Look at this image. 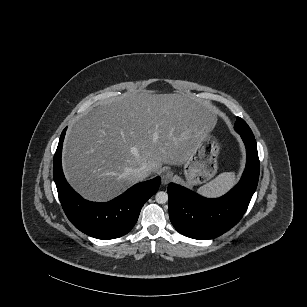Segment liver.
Masks as SVG:
<instances>
[{
	"instance_id": "obj_1",
	"label": "liver",
	"mask_w": 307,
	"mask_h": 307,
	"mask_svg": "<svg viewBox=\"0 0 307 307\" xmlns=\"http://www.w3.org/2000/svg\"><path fill=\"white\" fill-rule=\"evenodd\" d=\"M212 105L180 94L124 93L99 102L70 127L64 171L85 199L111 200L137 183L133 169L149 175L163 163L182 165L211 116Z\"/></svg>"
}]
</instances>
